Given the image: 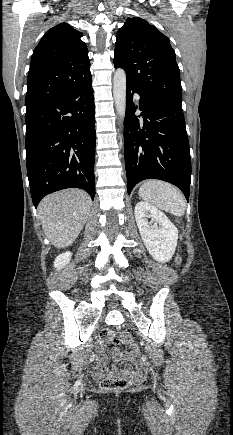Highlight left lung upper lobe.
Masks as SVG:
<instances>
[{"label": "left lung upper lobe", "instance_id": "1", "mask_svg": "<svg viewBox=\"0 0 233 435\" xmlns=\"http://www.w3.org/2000/svg\"><path fill=\"white\" fill-rule=\"evenodd\" d=\"M114 65L142 94L181 105L180 70L169 39L138 17L128 18L116 35Z\"/></svg>", "mask_w": 233, "mask_h": 435}]
</instances>
